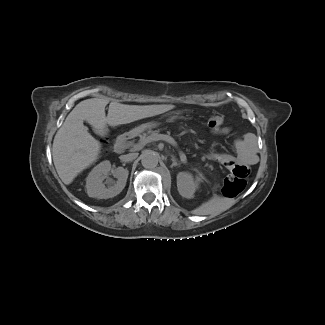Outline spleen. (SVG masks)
I'll return each mask as SVG.
<instances>
[{
  "label": "spleen",
  "instance_id": "1",
  "mask_svg": "<svg viewBox=\"0 0 325 325\" xmlns=\"http://www.w3.org/2000/svg\"><path fill=\"white\" fill-rule=\"evenodd\" d=\"M228 208L227 199L219 196L213 195L211 199L204 202L201 206L192 211L195 215H209L213 213H221Z\"/></svg>",
  "mask_w": 325,
  "mask_h": 325
}]
</instances>
